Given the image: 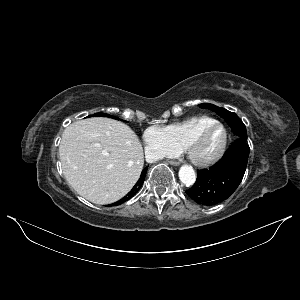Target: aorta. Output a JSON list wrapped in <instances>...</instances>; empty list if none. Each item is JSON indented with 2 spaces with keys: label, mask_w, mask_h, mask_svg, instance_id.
<instances>
[{
  "label": "aorta",
  "mask_w": 300,
  "mask_h": 300,
  "mask_svg": "<svg viewBox=\"0 0 300 300\" xmlns=\"http://www.w3.org/2000/svg\"><path fill=\"white\" fill-rule=\"evenodd\" d=\"M179 179L184 185L191 186L196 181V173L191 166L183 165L179 170Z\"/></svg>",
  "instance_id": "aorta-1"
}]
</instances>
